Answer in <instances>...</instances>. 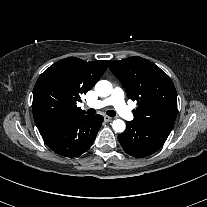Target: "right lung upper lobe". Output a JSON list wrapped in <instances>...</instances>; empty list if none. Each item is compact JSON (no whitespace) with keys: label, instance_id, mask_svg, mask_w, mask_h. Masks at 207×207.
I'll list each match as a JSON object with an SVG mask.
<instances>
[{"label":"right lung upper lobe","instance_id":"cb5924a9","mask_svg":"<svg viewBox=\"0 0 207 207\" xmlns=\"http://www.w3.org/2000/svg\"><path fill=\"white\" fill-rule=\"evenodd\" d=\"M107 68V61L86 62L75 57L62 59L47 68L33 91V116L40 134L56 125L85 115L77 102Z\"/></svg>","mask_w":207,"mask_h":207}]
</instances>
